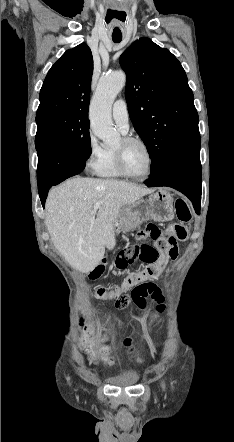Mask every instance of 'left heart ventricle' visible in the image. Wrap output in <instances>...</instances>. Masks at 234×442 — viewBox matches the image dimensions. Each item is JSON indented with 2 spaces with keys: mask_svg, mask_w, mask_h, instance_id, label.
I'll use <instances>...</instances> for the list:
<instances>
[{
  "mask_svg": "<svg viewBox=\"0 0 234 442\" xmlns=\"http://www.w3.org/2000/svg\"><path fill=\"white\" fill-rule=\"evenodd\" d=\"M121 146L122 141L120 140L115 148ZM124 161L127 170L134 175H143L147 171V154L139 144L133 143L124 147Z\"/></svg>",
  "mask_w": 234,
  "mask_h": 442,
  "instance_id": "1",
  "label": "left heart ventricle"
}]
</instances>
